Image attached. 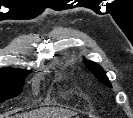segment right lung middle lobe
I'll return each mask as SVG.
<instances>
[{"label":"right lung middle lobe","mask_w":133,"mask_h":118,"mask_svg":"<svg viewBox=\"0 0 133 118\" xmlns=\"http://www.w3.org/2000/svg\"><path fill=\"white\" fill-rule=\"evenodd\" d=\"M29 73L18 69L0 70V103L22 92L24 80Z\"/></svg>","instance_id":"obj_1"}]
</instances>
